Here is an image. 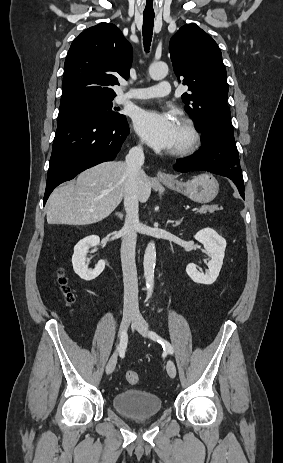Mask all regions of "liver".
<instances>
[{
	"label": "liver",
	"instance_id": "1",
	"mask_svg": "<svg viewBox=\"0 0 283 463\" xmlns=\"http://www.w3.org/2000/svg\"><path fill=\"white\" fill-rule=\"evenodd\" d=\"M129 174L126 163H101L80 173L76 180L57 187L47 202L48 224L89 225L108 217L124 197ZM152 180L145 174L139 200L145 203Z\"/></svg>",
	"mask_w": 283,
	"mask_h": 463
}]
</instances>
